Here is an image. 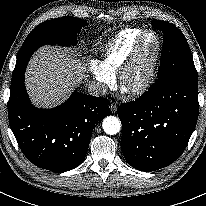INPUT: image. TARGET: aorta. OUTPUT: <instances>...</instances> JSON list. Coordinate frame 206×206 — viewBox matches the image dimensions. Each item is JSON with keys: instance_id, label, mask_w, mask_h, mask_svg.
I'll return each mask as SVG.
<instances>
[{"instance_id": "obj_1", "label": "aorta", "mask_w": 206, "mask_h": 206, "mask_svg": "<svg viewBox=\"0 0 206 206\" xmlns=\"http://www.w3.org/2000/svg\"><path fill=\"white\" fill-rule=\"evenodd\" d=\"M102 127L106 134L115 135L121 129V122L116 116H107L103 120Z\"/></svg>"}]
</instances>
